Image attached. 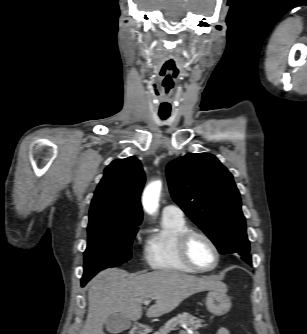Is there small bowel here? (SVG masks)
<instances>
[{"mask_svg":"<svg viewBox=\"0 0 307 334\" xmlns=\"http://www.w3.org/2000/svg\"><path fill=\"white\" fill-rule=\"evenodd\" d=\"M215 334H230L229 330L225 327L219 328Z\"/></svg>","mask_w":307,"mask_h":334,"instance_id":"c3829d8e","label":"small bowel"}]
</instances>
